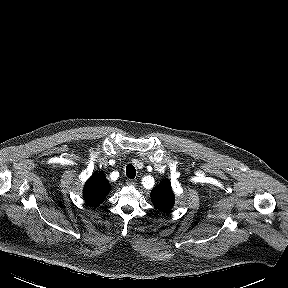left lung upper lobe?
<instances>
[{"label": "left lung upper lobe", "instance_id": "obj_1", "mask_svg": "<svg viewBox=\"0 0 288 288\" xmlns=\"http://www.w3.org/2000/svg\"><path fill=\"white\" fill-rule=\"evenodd\" d=\"M151 200L160 211H168L174 205V194L168 179H164L151 191Z\"/></svg>", "mask_w": 288, "mask_h": 288}]
</instances>
